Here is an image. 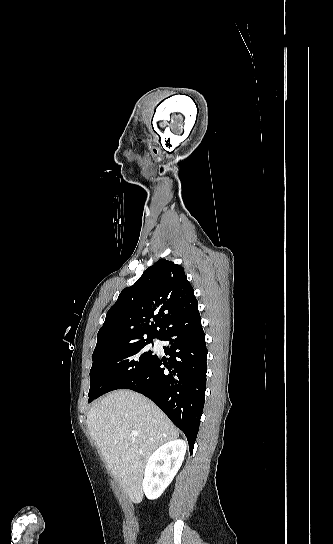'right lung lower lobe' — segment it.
<instances>
[{"instance_id":"obj_1","label":"right lung lower lobe","mask_w":333,"mask_h":544,"mask_svg":"<svg viewBox=\"0 0 333 544\" xmlns=\"http://www.w3.org/2000/svg\"><path fill=\"white\" fill-rule=\"evenodd\" d=\"M159 339L170 342L164 347L170 357L157 356L123 388L151 399L184 432L192 453L206 390L207 348L200 314L172 326Z\"/></svg>"}]
</instances>
